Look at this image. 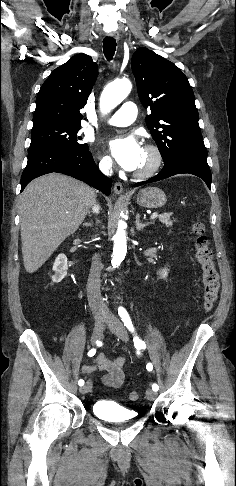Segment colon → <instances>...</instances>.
<instances>
[{
  "instance_id": "1",
  "label": "colon",
  "mask_w": 236,
  "mask_h": 486,
  "mask_svg": "<svg viewBox=\"0 0 236 486\" xmlns=\"http://www.w3.org/2000/svg\"><path fill=\"white\" fill-rule=\"evenodd\" d=\"M195 237V252L198 264L202 269V281L204 285L203 308L205 311H210L215 304L219 288V274L215 267L214 255L210 247L208 237L205 234V228L202 223L196 222L192 228ZM140 398V393L132 391L129 394L131 401H136Z\"/></svg>"
}]
</instances>
